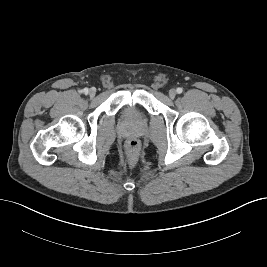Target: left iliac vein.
<instances>
[{
    "mask_svg": "<svg viewBox=\"0 0 267 267\" xmlns=\"http://www.w3.org/2000/svg\"><path fill=\"white\" fill-rule=\"evenodd\" d=\"M175 96H176V90H175V89H171V90L169 91V97H170L171 99H174Z\"/></svg>",
    "mask_w": 267,
    "mask_h": 267,
    "instance_id": "4c4485c4",
    "label": "left iliac vein"
}]
</instances>
